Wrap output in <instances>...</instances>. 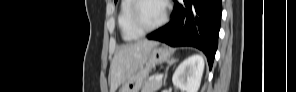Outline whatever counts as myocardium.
Returning <instances> with one entry per match:
<instances>
[{"label": "myocardium", "instance_id": "1", "mask_svg": "<svg viewBox=\"0 0 296 92\" xmlns=\"http://www.w3.org/2000/svg\"><path fill=\"white\" fill-rule=\"evenodd\" d=\"M146 1H148V0L134 1L132 8H131V12H130V22H131L132 26L142 34L149 33L151 31H154V30L160 28L161 26H163L166 23V21L168 19L167 3L165 1H160L164 7V12H163L162 18L156 24H154L152 26H145L140 19L139 13H140V9H141L142 4Z\"/></svg>", "mask_w": 296, "mask_h": 92}]
</instances>
